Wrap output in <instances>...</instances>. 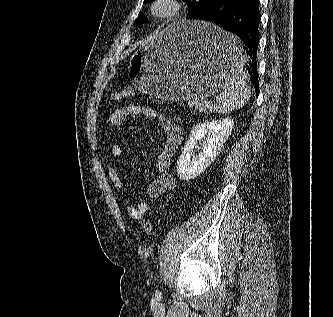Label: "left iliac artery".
Here are the masks:
<instances>
[{
	"mask_svg": "<svg viewBox=\"0 0 333 317\" xmlns=\"http://www.w3.org/2000/svg\"><path fill=\"white\" fill-rule=\"evenodd\" d=\"M156 294L160 295V292H159V291H156Z\"/></svg>",
	"mask_w": 333,
	"mask_h": 317,
	"instance_id": "44dca946",
	"label": "left iliac artery"
}]
</instances>
